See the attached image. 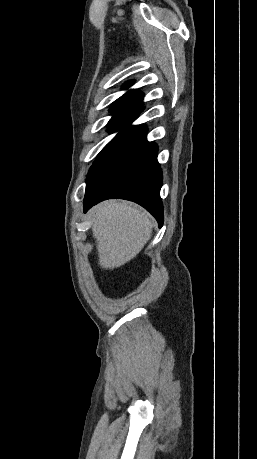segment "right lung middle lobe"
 Masks as SVG:
<instances>
[{
	"label": "right lung middle lobe",
	"mask_w": 257,
	"mask_h": 459,
	"mask_svg": "<svg viewBox=\"0 0 257 459\" xmlns=\"http://www.w3.org/2000/svg\"><path fill=\"white\" fill-rule=\"evenodd\" d=\"M113 117L110 119L108 123L109 132H115L119 130L130 118L134 116V114L129 112H112ZM109 144V143H108ZM108 144L103 148V150L99 153L102 154L103 151L107 148Z\"/></svg>",
	"instance_id": "right-lung-middle-lobe-1"
}]
</instances>
